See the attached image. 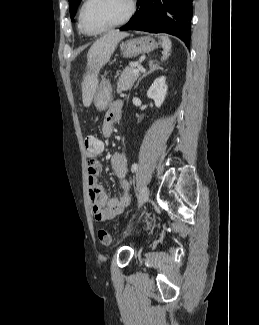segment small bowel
<instances>
[{
	"label": "small bowel",
	"mask_w": 259,
	"mask_h": 325,
	"mask_svg": "<svg viewBox=\"0 0 259 325\" xmlns=\"http://www.w3.org/2000/svg\"><path fill=\"white\" fill-rule=\"evenodd\" d=\"M123 103L120 100L114 101L106 112L102 123L101 131L104 137L113 134L114 124L121 118ZM102 143V142H101ZM103 144V143H102ZM104 150H97L93 154H87V181L89 188V199L92 204V212L96 220L104 221L120 215L130 204L129 189L130 183L127 179V161L122 152H115L111 156V168L119 181V194L110 197L109 194L99 185L98 174L101 170L99 156Z\"/></svg>",
	"instance_id": "1"
}]
</instances>
